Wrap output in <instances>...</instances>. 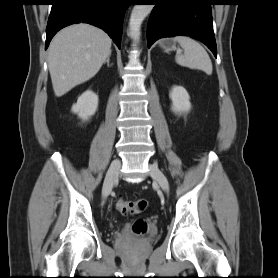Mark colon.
I'll return each mask as SVG.
<instances>
[{
	"mask_svg": "<svg viewBox=\"0 0 278 278\" xmlns=\"http://www.w3.org/2000/svg\"><path fill=\"white\" fill-rule=\"evenodd\" d=\"M148 207L146 199H139L135 201L118 200L116 203L117 210L122 214H139L144 212ZM147 224L143 219L135 222L133 230L137 234H142L146 231Z\"/></svg>",
	"mask_w": 278,
	"mask_h": 278,
	"instance_id": "obj_1",
	"label": "colon"
}]
</instances>
